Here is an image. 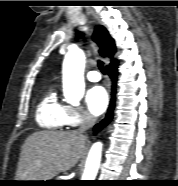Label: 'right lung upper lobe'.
Listing matches in <instances>:
<instances>
[{
  "mask_svg": "<svg viewBox=\"0 0 178 186\" xmlns=\"http://www.w3.org/2000/svg\"><path fill=\"white\" fill-rule=\"evenodd\" d=\"M93 39L99 47L100 55L102 57H108L111 59V63L108 66L117 65L118 61L113 58L116 52L115 42L104 26H96L93 34Z\"/></svg>",
  "mask_w": 178,
  "mask_h": 186,
  "instance_id": "obj_1",
  "label": "right lung upper lobe"
}]
</instances>
